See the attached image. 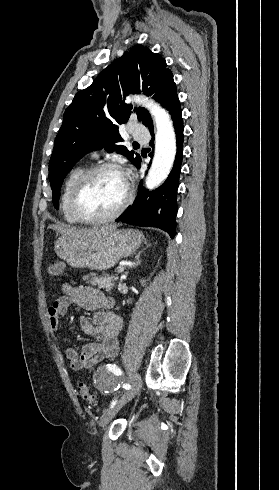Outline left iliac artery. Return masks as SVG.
<instances>
[{
    "instance_id": "obj_1",
    "label": "left iliac artery",
    "mask_w": 279,
    "mask_h": 490,
    "mask_svg": "<svg viewBox=\"0 0 279 490\" xmlns=\"http://www.w3.org/2000/svg\"><path fill=\"white\" fill-rule=\"evenodd\" d=\"M108 368L110 371L114 372V374H116V375L121 374V370L115 364L114 365L109 364ZM127 386L130 388V385H127ZM115 404H116V400H114L112 402L111 408H113L115 406Z\"/></svg>"
}]
</instances>
